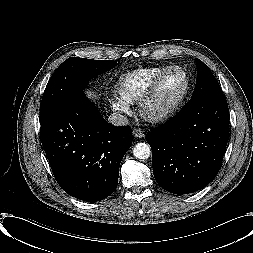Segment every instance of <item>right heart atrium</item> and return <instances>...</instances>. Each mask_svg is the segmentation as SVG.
Masks as SVG:
<instances>
[{
    "instance_id": "right-heart-atrium-1",
    "label": "right heart atrium",
    "mask_w": 253,
    "mask_h": 253,
    "mask_svg": "<svg viewBox=\"0 0 253 253\" xmlns=\"http://www.w3.org/2000/svg\"><path fill=\"white\" fill-rule=\"evenodd\" d=\"M111 108L121 114H128L130 112V105L120 98L109 101Z\"/></svg>"
}]
</instances>
